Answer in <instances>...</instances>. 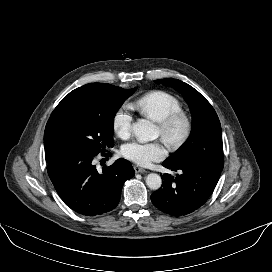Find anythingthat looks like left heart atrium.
Segmentation results:
<instances>
[{"mask_svg": "<svg viewBox=\"0 0 272 272\" xmlns=\"http://www.w3.org/2000/svg\"><path fill=\"white\" fill-rule=\"evenodd\" d=\"M122 155L136 164L147 166L162 160L166 150L160 142L133 141L122 147Z\"/></svg>", "mask_w": 272, "mask_h": 272, "instance_id": "39dd6f15", "label": "left heart atrium"}]
</instances>
